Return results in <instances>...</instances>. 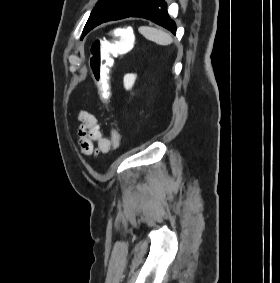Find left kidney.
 Wrapping results in <instances>:
<instances>
[{
  "label": "left kidney",
  "mask_w": 280,
  "mask_h": 283,
  "mask_svg": "<svg viewBox=\"0 0 280 283\" xmlns=\"http://www.w3.org/2000/svg\"><path fill=\"white\" fill-rule=\"evenodd\" d=\"M136 77L135 74H126L124 76L123 82L126 90H130L133 87Z\"/></svg>",
  "instance_id": "5707ae66"
}]
</instances>
